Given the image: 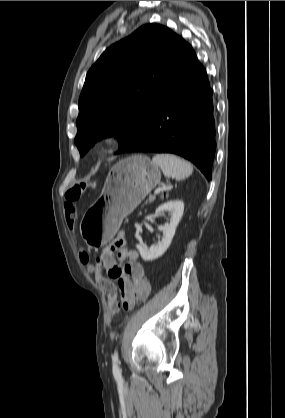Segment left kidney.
Here are the masks:
<instances>
[{"instance_id":"5707ae66","label":"left kidney","mask_w":285,"mask_h":418,"mask_svg":"<svg viewBox=\"0 0 285 418\" xmlns=\"http://www.w3.org/2000/svg\"><path fill=\"white\" fill-rule=\"evenodd\" d=\"M164 211L171 212V219L168 224L160 225L158 227L159 230L163 232L161 241L152 245L149 249L145 248L142 243L136 245L142 259L145 261L157 259L166 252L175 235L176 227L182 218L184 203L181 200L168 201L156 209L155 216L160 215Z\"/></svg>"}]
</instances>
